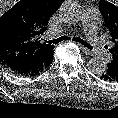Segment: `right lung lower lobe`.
<instances>
[{
	"label": "right lung lower lobe",
	"instance_id": "obj_1",
	"mask_svg": "<svg viewBox=\"0 0 118 118\" xmlns=\"http://www.w3.org/2000/svg\"><path fill=\"white\" fill-rule=\"evenodd\" d=\"M10 71L14 72L15 74L22 75V76H33L42 72L43 70L37 67H24L20 64H7L5 65Z\"/></svg>",
	"mask_w": 118,
	"mask_h": 118
}]
</instances>
